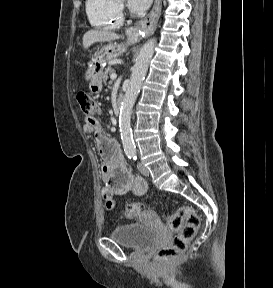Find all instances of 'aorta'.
Returning a JSON list of instances; mask_svg holds the SVG:
<instances>
[{
	"instance_id": "aorta-1",
	"label": "aorta",
	"mask_w": 273,
	"mask_h": 288,
	"mask_svg": "<svg viewBox=\"0 0 273 288\" xmlns=\"http://www.w3.org/2000/svg\"><path fill=\"white\" fill-rule=\"evenodd\" d=\"M155 44L156 39L152 38L148 40L140 49L136 63L132 69L129 86L121 104L119 127L122 144L127 155L136 154V148L131 130L132 108L140 92L142 82L149 67V63L153 57Z\"/></svg>"
}]
</instances>
